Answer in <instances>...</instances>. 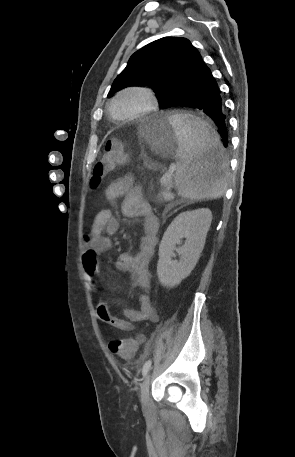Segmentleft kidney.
I'll return each instance as SVG.
<instances>
[{
	"mask_svg": "<svg viewBox=\"0 0 295 457\" xmlns=\"http://www.w3.org/2000/svg\"><path fill=\"white\" fill-rule=\"evenodd\" d=\"M212 221L209 209H197L179 214L168 226L159 247L157 275L160 283L168 288L180 284L194 269L204 248L206 235ZM185 243L181 244V239ZM174 251L180 255L173 261Z\"/></svg>",
	"mask_w": 295,
	"mask_h": 457,
	"instance_id": "left-kidney-1",
	"label": "left kidney"
}]
</instances>
